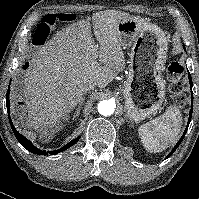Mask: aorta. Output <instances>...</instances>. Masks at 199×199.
<instances>
[{"label":"aorta","mask_w":199,"mask_h":199,"mask_svg":"<svg viewBox=\"0 0 199 199\" xmlns=\"http://www.w3.org/2000/svg\"><path fill=\"white\" fill-rule=\"evenodd\" d=\"M115 105L110 100L100 101L98 104V112L103 116H109L114 113Z\"/></svg>","instance_id":"aorta-1"}]
</instances>
